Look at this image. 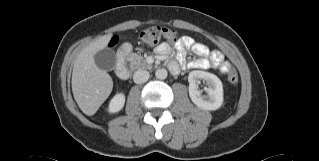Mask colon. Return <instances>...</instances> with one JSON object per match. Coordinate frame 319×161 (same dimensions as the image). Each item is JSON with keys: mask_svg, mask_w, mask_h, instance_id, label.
<instances>
[{"mask_svg": "<svg viewBox=\"0 0 319 161\" xmlns=\"http://www.w3.org/2000/svg\"><path fill=\"white\" fill-rule=\"evenodd\" d=\"M141 39L147 44H157L162 40L177 42L178 32L170 28L154 26L144 30L141 33ZM213 67H215V65ZM228 79L231 84L233 85L237 84L238 82L237 73L234 71H230L228 74Z\"/></svg>", "mask_w": 319, "mask_h": 161, "instance_id": "1", "label": "colon"}]
</instances>
